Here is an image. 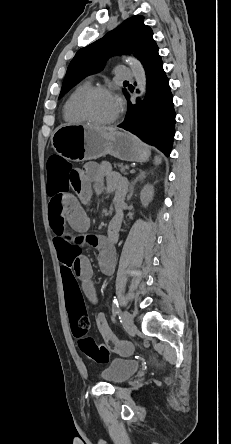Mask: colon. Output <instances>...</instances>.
<instances>
[{"label":"colon","mask_w":231,"mask_h":444,"mask_svg":"<svg viewBox=\"0 0 231 444\" xmlns=\"http://www.w3.org/2000/svg\"><path fill=\"white\" fill-rule=\"evenodd\" d=\"M47 171V191L51 197L49 205L53 208L61 202L62 194L70 188L71 180L78 176V170L60 156L53 155L48 159ZM66 301L72 333L77 338L81 351L91 361L104 364L109 359L110 351L125 352L129 350L128 344L120 343L118 340H110L106 341V344H101L88 336L90 319L82 295L67 294Z\"/></svg>","instance_id":"obj_1"}]
</instances>
